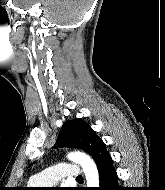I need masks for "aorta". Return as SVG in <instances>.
I'll list each match as a JSON object with an SVG mask.
<instances>
[{
	"label": "aorta",
	"mask_w": 165,
	"mask_h": 190,
	"mask_svg": "<svg viewBox=\"0 0 165 190\" xmlns=\"http://www.w3.org/2000/svg\"><path fill=\"white\" fill-rule=\"evenodd\" d=\"M68 158L82 166L87 187H99V174L95 162L85 153L73 152Z\"/></svg>",
	"instance_id": "aorta-1"
}]
</instances>
